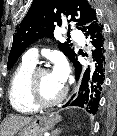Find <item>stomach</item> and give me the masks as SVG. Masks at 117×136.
<instances>
[{"label":"stomach","mask_w":117,"mask_h":136,"mask_svg":"<svg viewBox=\"0 0 117 136\" xmlns=\"http://www.w3.org/2000/svg\"><path fill=\"white\" fill-rule=\"evenodd\" d=\"M59 117L53 115H41L34 118L28 125L23 127L16 136H42L45 132L50 131Z\"/></svg>","instance_id":"obj_1"}]
</instances>
